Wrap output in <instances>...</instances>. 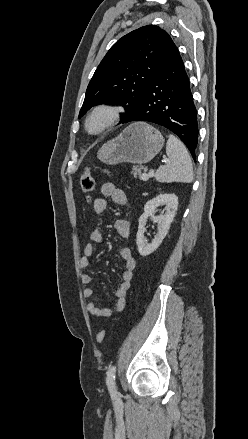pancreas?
Returning a JSON list of instances; mask_svg holds the SVG:
<instances>
[{
  "label": "pancreas",
  "instance_id": "obj_1",
  "mask_svg": "<svg viewBox=\"0 0 248 439\" xmlns=\"http://www.w3.org/2000/svg\"><path fill=\"white\" fill-rule=\"evenodd\" d=\"M144 169L145 168L143 166H134L132 168V174L134 175V177L142 179L143 174H146L145 172H143Z\"/></svg>",
  "mask_w": 248,
  "mask_h": 439
}]
</instances>
